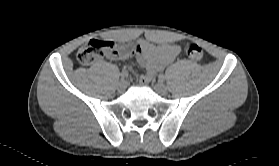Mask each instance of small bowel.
I'll return each mask as SVG.
<instances>
[{
    "instance_id": "c3829d8e",
    "label": "small bowel",
    "mask_w": 279,
    "mask_h": 166,
    "mask_svg": "<svg viewBox=\"0 0 279 166\" xmlns=\"http://www.w3.org/2000/svg\"><path fill=\"white\" fill-rule=\"evenodd\" d=\"M132 53L136 54L138 62L146 69L144 78L150 79L157 71L162 70L181 54V46L169 43L156 45L142 39L137 43L134 50L124 46L119 52L107 54V58L110 60L126 59Z\"/></svg>"
}]
</instances>
